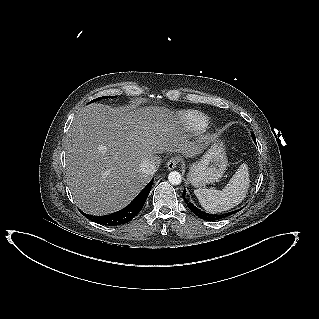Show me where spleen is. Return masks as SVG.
Returning a JSON list of instances; mask_svg holds the SVG:
<instances>
[{
  "instance_id": "spleen-1",
  "label": "spleen",
  "mask_w": 319,
  "mask_h": 319,
  "mask_svg": "<svg viewBox=\"0 0 319 319\" xmlns=\"http://www.w3.org/2000/svg\"><path fill=\"white\" fill-rule=\"evenodd\" d=\"M250 187L249 170L243 163L223 190L196 189L194 193L201 206L211 213L227 211L240 204Z\"/></svg>"
}]
</instances>
